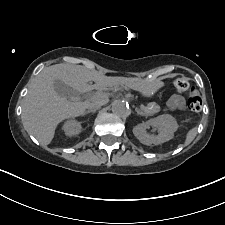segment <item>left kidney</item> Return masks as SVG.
<instances>
[{"label":"left kidney","mask_w":225,"mask_h":225,"mask_svg":"<svg viewBox=\"0 0 225 225\" xmlns=\"http://www.w3.org/2000/svg\"><path fill=\"white\" fill-rule=\"evenodd\" d=\"M150 126L158 129V135H150L146 132V129ZM177 129L176 120L169 114H163L136 125L133 128V134L144 145H158L171 140Z\"/></svg>","instance_id":"5707ae66"}]
</instances>
